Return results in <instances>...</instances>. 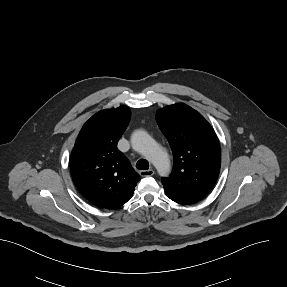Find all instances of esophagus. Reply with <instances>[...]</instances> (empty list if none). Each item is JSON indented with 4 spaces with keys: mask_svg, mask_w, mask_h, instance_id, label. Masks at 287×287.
Instances as JSON below:
<instances>
[{
    "mask_svg": "<svg viewBox=\"0 0 287 287\" xmlns=\"http://www.w3.org/2000/svg\"><path fill=\"white\" fill-rule=\"evenodd\" d=\"M140 175L143 177H149L154 175V170L153 169H149V170H142L140 171Z\"/></svg>",
    "mask_w": 287,
    "mask_h": 287,
    "instance_id": "obj_1",
    "label": "esophagus"
}]
</instances>
